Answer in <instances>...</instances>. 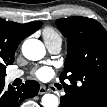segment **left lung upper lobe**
<instances>
[{
	"label": "left lung upper lobe",
	"instance_id": "5c2ea615",
	"mask_svg": "<svg viewBox=\"0 0 107 107\" xmlns=\"http://www.w3.org/2000/svg\"><path fill=\"white\" fill-rule=\"evenodd\" d=\"M67 38L68 54L60 81L77 97L85 89L107 87V32L94 19L74 16L56 21ZM68 79L71 85L64 83Z\"/></svg>",
	"mask_w": 107,
	"mask_h": 107
}]
</instances>
